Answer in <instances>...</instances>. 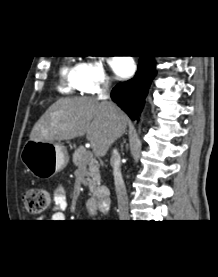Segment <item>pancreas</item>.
Listing matches in <instances>:
<instances>
[{
    "mask_svg": "<svg viewBox=\"0 0 218 277\" xmlns=\"http://www.w3.org/2000/svg\"><path fill=\"white\" fill-rule=\"evenodd\" d=\"M72 160L75 166H89L88 171L86 172V181L90 193H94L101 181L97 160L93 157V154L87 151L83 146H80L75 150Z\"/></svg>",
    "mask_w": 218,
    "mask_h": 277,
    "instance_id": "1",
    "label": "pancreas"
}]
</instances>
